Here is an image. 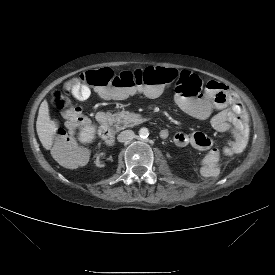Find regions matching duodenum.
Wrapping results in <instances>:
<instances>
[{
	"label": "duodenum",
	"instance_id": "1",
	"mask_svg": "<svg viewBox=\"0 0 275 275\" xmlns=\"http://www.w3.org/2000/svg\"><path fill=\"white\" fill-rule=\"evenodd\" d=\"M98 120L102 125L101 133L105 142L107 144H112L114 141V132H113L114 123H113L112 117L105 113H99ZM160 135L161 137L166 138L168 135V132L166 130H162Z\"/></svg>",
	"mask_w": 275,
	"mask_h": 275
}]
</instances>
